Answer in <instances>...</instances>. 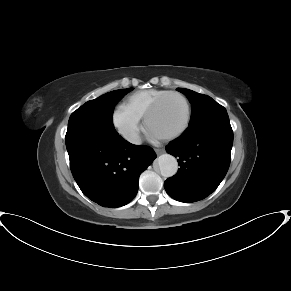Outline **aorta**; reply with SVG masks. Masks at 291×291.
<instances>
[{"mask_svg": "<svg viewBox=\"0 0 291 291\" xmlns=\"http://www.w3.org/2000/svg\"><path fill=\"white\" fill-rule=\"evenodd\" d=\"M157 163L163 177H172L177 173L178 162L174 156L162 154L158 157Z\"/></svg>", "mask_w": 291, "mask_h": 291, "instance_id": "762f6f07", "label": "aorta"}]
</instances>
